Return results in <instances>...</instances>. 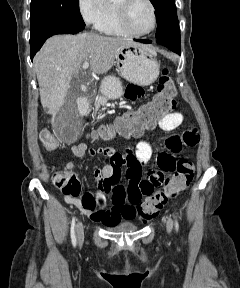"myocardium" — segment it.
<instances>
[{
	"mask_svg": "<svg viewBox=\"0 0 240 288\" xmlns=\"http://www.w3.org/2000/svg\"><path fill=\"white\" fill-rule=\"evenodd\" d=\"M135 0H124L123 4H117L114 3L116 11H117V16H118V22L121 26V28L129 35L136 36V37H144V36H149L151 35L157 28L158 25V18H157V10L152 2V0H144L151 8L152 11V16H153V26L152 28L144 33H139L134 31L129 23V6L131 5L132 2Z\"/></svg>",
	"mask_w": 240,
	"mask_h": 288,
	"instance_id": "1",
	"label": "myocardium"
}]
</instances>
